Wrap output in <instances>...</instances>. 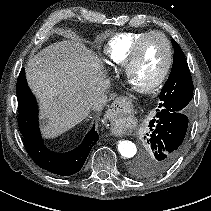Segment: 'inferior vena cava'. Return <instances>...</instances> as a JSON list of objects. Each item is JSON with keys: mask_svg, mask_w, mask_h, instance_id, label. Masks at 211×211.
I'll list each match as a JSON object with an SVG mask.
<instances>
[{"mask_svg": "<svg viewBox=\"0 0 211 211\" xmlns=\"http://www.w3.org/2000/svg\"><path fill=\"white\" fill-rule=\"evenodd\" d=\"M106 87H107V84L105 82H102L98 85V91L96 92L95 97H93L92 106H95L96 102L100 100V97L103 95V92L105 91Z\"/></svg>", "mask_w": 211, "mask_h": 211, "instance_id": "inferior-vena-cava-1", "label": "inferior vena cava"}]
</instances>
